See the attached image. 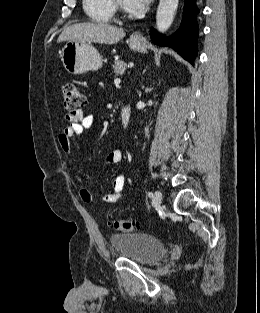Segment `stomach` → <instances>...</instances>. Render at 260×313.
Wrapping results in <instances>:
<instances>
[{"label": "stomach", "mask_w": 260, "mask_h": 313, "mask_svg": "<svg viewBox=\"0 0 260 313\" xmlns=\"http://www.w3.org/2000/svg\"><path fill=\"white\" fill-rule=\"evenodd\" d=\"M130 48L145 53L148 44L145 40L130 37ZM61 61L70 74H83L102 67V57L88 42L68 41L62 48Z\"/></svg>", "instance_id": "1"}]
</instances>
